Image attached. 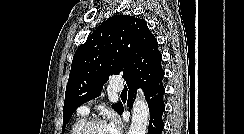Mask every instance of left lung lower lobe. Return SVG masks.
<instances>
[{
    "instance_id": "obj_1",
    "label": "left lung lower lobe",
    "mask_w": 244,
    "mask_h": 134,
    "mask_svg": "<svg viewBox=\"0 0 244 134\" xmlns=\"http://www.w3.org/2000/svg\"><path fill=\"white\" fill-rule=\"evenodd\" d=\"M162 80L163 76L155 77L143 88L145 99L147 100L150 111L148 134H161L164 128L162 115L165 110V104L163 101L165 89L163 87ZM135 98L136 89L129 88L127 102L129 106ZM123 110L124 109L122 107L119 113L122 114Z\"/></svg>"
}]
</instances>
